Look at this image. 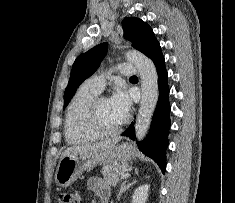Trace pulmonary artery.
Segmentation results:
<instances>
[{
	"mask_svg": "<svg viewBox=\"0 0 235 203\" xmlns=\"http://www.w3.org/2000/svg\"><path fill=\"white\" fill-rule=\"evenodd\" d=\"M118 70L121 74L125 76H131L135 73V67L131 63H121L118 65ZM86 83L93 87L94 89L101 92L105 86V76L104 75H94L90 77Z\"/></svg>",
	"mask_w": 235,
	"mask_h": 203,
	"instance_id": "pulmonary-artery-1",
	"label": "pulmonary artery"
}]
</instances>
